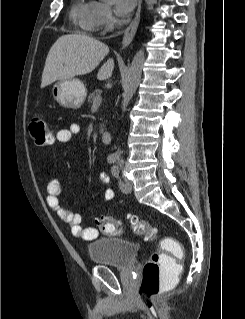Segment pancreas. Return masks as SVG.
Listing matches in <instances>:
<instances>
[{
    "mask_svg": "<svg viewBox=\"0 0 245 319\" xmlns=\"http://www.w3.org/2000/svg\"><path fill=\"white\" fill-rule=\"evenodd\" d=\"M102 91L100 89H96L88 96V103H91L96 97L100 96ZM100 131H103V126L100 127Z\"/></svg>",
    "mask_w": 245,
    "mask_h": 319,
    "instance_id": "obj_1",
    "label": "pancreas"
}]
</instances>
